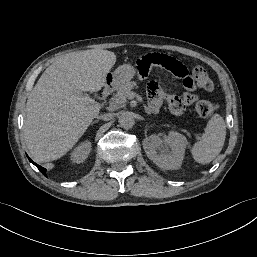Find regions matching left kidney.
Wrapping results in <instances>:
<instances>
[{
  "label": "left kidney",
  "instance_id": "left-kidney-1",
  "mask_svg": "<svg viewBox=\"0 0 257 257\" xmlns=\"http://www.w3.org/2000/svg\"><path fill=\"white\" fill-rule=\"evenodd\" d=\"M142 144L147 157L158 167L174 170L181 167L188 142L184 135L170 131L168 136L151 135Z\"/></svg>",
  "mask_w": 257,
  "mask_h": 257
}]
</instances>
